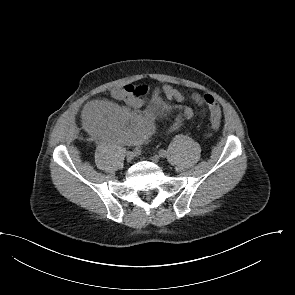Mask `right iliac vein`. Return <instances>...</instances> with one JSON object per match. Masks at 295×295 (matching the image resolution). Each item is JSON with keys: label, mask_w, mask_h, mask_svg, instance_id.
I'll return each mask as SVG.
<instances>
[{"label": "right iliac vein", "mask_w": 295, "mask_h": 295, "mask_svg": "<svg viewBox=\"0 0 295 295\" xmlns=\"http://www.w3.org/2000/svg\"><path fill=\"white\" fill-rule=\"evenodd\" d=\"M134 157H135V153L134 152H130V151L127 152L126 159H127L128 162H131L134 159Z\"/></svg>", "instance_id": "obj_1"}]
</instances>
